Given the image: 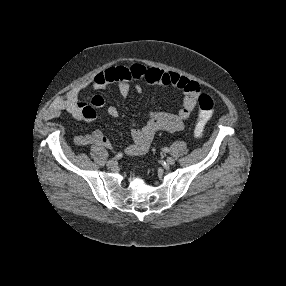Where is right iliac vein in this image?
<instances>
[{"label": "right iliac vein", "instance_id": "63e3f726", "mask_svg": "<svg viewBox=\"0 0 286 286\" xmlns=\"http://www.w3.org/2000/svg\"><path fill=\"white\" fill-rule=\"evenodd\" d=\"M107 166H108V168H115V162L113 160H109L107 162Z\"/></svg>", "mask_w": 286, "mask_h": 286}]
</instances>
